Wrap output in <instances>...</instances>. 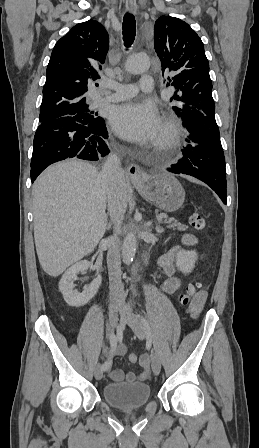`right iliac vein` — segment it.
Returning <instances> with one entry per match:
<instances>
[{
    "label": "right iliac vein",
    "mask_w": 259,
    "mask_h": 448,
    "mask_svg": "<svg viewBox=\"0 0 259 448\" xmlns=\"http://www.w3.org/2000/svg\"><path fill=\"white\" fill-rule=\"evenodd\" d=\"M120 302L118 300H111L109 303V330L110 333L113 332L114 327L118 320V311L120 309ZM94 376L97 380H100L103 376V371L101 369V366L98 364Z\"/></svg>",
    "instance_id": "obj_1"
}]
</instances>
